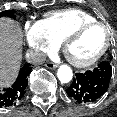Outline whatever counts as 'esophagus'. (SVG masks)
Wrapping results in <instances>:
<instances>
[{
    "mask_svg": "<svg viewBox=\"0 0 117 117\" xmlns=\"http://www.w3.org/2000/svg\"><path fill=\"white\" fill-rule=\"evenodd\" d=\"M45 66H46L48 69H56V68L58 67L57 64L52 63V62H47V63L45 64Z\"/></svg>",
    "mask_w": 117,
    "mask_h": 117,
    "instance_id": "obj_1",
    "label": "esophagus"
}]
</instances>
